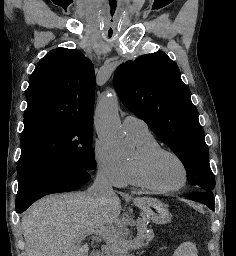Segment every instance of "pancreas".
I'll list each match as a JSON object with an SVG mask.
<instances>
[{
	"label": "pancreas",
	"instance_id": "1",
	"mask_svg": "<svg viewBox=\"0 0 236 256\" xmlns=\"http://www.w3.org/2000/svg\"><path fill=\"white\" fill-rule=\"evenodd\" d=\"M116 222L117 224H123V226H117L115 227V229H111V231L104 236L107 248H111L108 249V254H122L123 250L125 249L134 250L135 247L147 246L148 242H151V240H153L154 238V232H148V234H145V231H142L144 227H148L149 225L148 222H143V224H139L138 226V238L131 239V242H129V238H121V236H124V234H128V232H126V229H124V226H126V224H132L133 220L117 219Z\"/></svg>",
	"mask_w": 236,
	"mask_h": 256
}]
</instances>
